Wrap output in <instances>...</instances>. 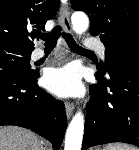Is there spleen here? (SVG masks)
<instances>
[{"mask_svg":"<svg viewBox=\"0 0 139 150\" xmlns=\"http://www.w3.org/2000/svg\"><path fill=\"white\" fill-rule=\"evenodd\" d=\"M104 150H136V149L131 146L124 145V144H112V145L106 146Z\"/></svg>","mask_w":139,"mask_h":150,"instance_id":"3e777b00","label":"spleen"}]
</instances>
